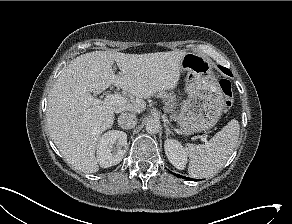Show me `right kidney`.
<instances>
[{"label":"right kidney","instance_id":"ca27d5eb","mask_svg":"<svg viewBox=\"0 0 292 224\" xmlns=\"http://www.w3.org/2000/svg\"><path fill=\"white\" fill-rule=\"evenodd\" d=\"M114 144H117L116 149ZM126 146V133L117 130L108 131L98 141L97 162L102 168L117 165L124 157Z\"/></svg>","mask_w":292,"mask_h":224}]
</instances>
